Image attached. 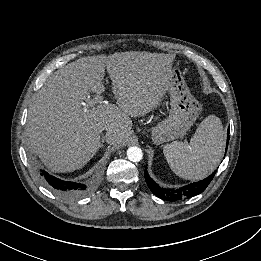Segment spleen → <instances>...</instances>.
I'll return each mask as SVG.
<instances>
[{
  "instance_id": "spleen-1",
  "label": "spleen",
  "mask_w": 261,
  "mask_h": 261,
  "mask_svg": "<svg viewBox=\"0 0 261 261\" xmlns=\"http://www.w3.org/2000/svg\"><path fill=\"white\" fill-rule=\"evenodd\" d=\"M221 120L209 115L198 126L189 144L172 142L163 148L172 171L184 179L199 180L214 171L223 156Z\"/></svg>"
}]
</instances>
